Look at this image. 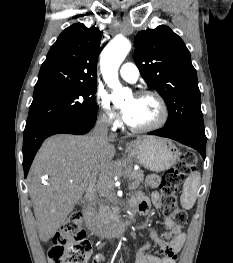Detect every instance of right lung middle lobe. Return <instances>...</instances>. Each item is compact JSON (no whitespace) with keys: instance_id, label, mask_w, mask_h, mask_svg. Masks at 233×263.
Listing matches in <instances>:
<instances>
[{"instance_id":"1","label":"right lung middle lobe","mask_w":233,"mask_h":263,"mask_svg":"<svg viewBox=\"0 0 233 263\" xmlns=\"http://www.w3.org/2000/svg\"><path fill=\"white\" fill-rule=\"evenodd\" d=\"M96 85H78L33 95L25 130L62 118L95 111Z\"/></svg>"}]
</instances>
